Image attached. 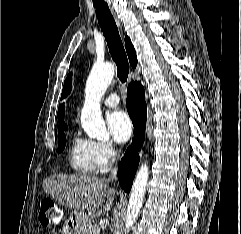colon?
Here are the masks:
<instances>
[{
	"mask_svg": "<svg viewBox=\"0 0 241 234\" xmlns=\"http://www.w3.org/2000/svg\"><path fill=\"white\" fill-rule=\"evenodd\" d=\"M60 221V213L52 200H44L41 203L39 222L45 227L56 225Z\"/></svg>",
	"mask_w": 241,
	"mask_h": 234,
	"instance_id": "obj_1",
	"label": "colon"
}]
</instances>
